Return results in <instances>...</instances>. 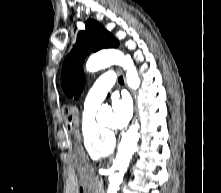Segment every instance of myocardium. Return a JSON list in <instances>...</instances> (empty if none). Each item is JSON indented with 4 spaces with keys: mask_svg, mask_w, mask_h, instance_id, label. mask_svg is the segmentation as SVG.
I'll use <instances>...</instances> for the list:
<instances>
[{
    "mask_svg": "<svg viewBox=\"0 0 221 193\" xmlns=\"http://www.w3.org/2000/svg\"><path fill=\"white\" fill-rule=\"evenodd\" d=\"M102 129L106 132V133H110L113 128L112 127H108V126H105V125H101Z\"/></svg>",
    "mask_w": 221,
    "mask_h": 193,
    "instance_id": "obj_1",
    "label": "myocardium"
}]
</instances>
